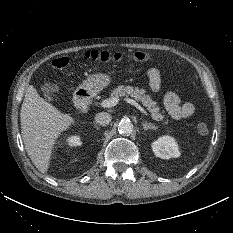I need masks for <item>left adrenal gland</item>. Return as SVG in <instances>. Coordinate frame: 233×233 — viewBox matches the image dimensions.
I'll return each mask as SVG.
<instances>
[{
	"instance_id": "1",
	"label": "left adrenal gland",
	"mask_w": 233,
	"mask_h": 233,
	"mask_svg": "<svg viewBox=\"0 0 233 233\" xmlns=\"http://www.w3.org/2000/svg\"><path fill=\"white\" fill-rule=\"evenodd\" d=\"M142 126H143V128H144L145 131H146V130H156V129L158 128V127L155 126L154 124H152V123H147V122H145V121L142 122Z\"/></svg>"
}]
</instances>
